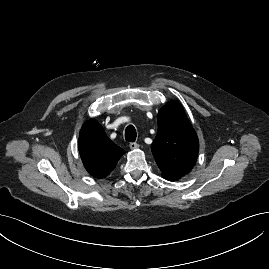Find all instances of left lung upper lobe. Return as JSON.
<instances>
[{"instance_id": "5c2ea615", "label": "left lung upper lobe", "mask_w": 269, "mask_h": 269, "mask_svg": "<svg viewBox=\"0 0 269 269\" xmlns=\"http://www.w3.org/2000/svg\"><path fill=\"white\" fill-rule=\"evenodd\" d=\"M157 121L158 132L151 145L153 156L164 178L179 179L195 165L198 137L177 101L163 106Z\"/></svg>"}]
</instances>
